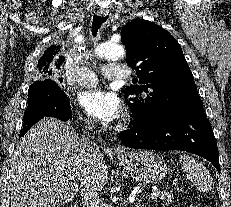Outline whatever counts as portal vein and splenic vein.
<instances>
[{"label": "portal vein and splenic vein", "instance_id": "18ae733b", "mask_svg": "<svg viewBox=\"0 0 231 207\" xmlns=\"http://www.w3.org/2000/svg\"><path fill=\"white\" fill-rule=\"evenodd\" d=\"M159 193L160 192H158V191H154V192L151 193L150 197L151 198H156V197L159 196ZM134 200H135V195H132V196L129 197V202L130 203H132Z\"/></svg>", "mask_w": 231, "mask_h": 207}]
</instances>
